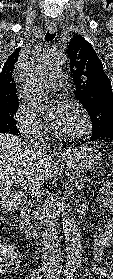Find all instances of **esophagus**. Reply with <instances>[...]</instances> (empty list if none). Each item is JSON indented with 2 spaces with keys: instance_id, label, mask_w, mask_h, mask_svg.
<instances>
[{
  "instance_id": "1",
  "label": "esophagus",
  "mask_w": 113,
  "mask_h": 279,
  "mask_svg": "<svg viewBox=\"0 0 113 279\" xmlns=\"http://www.w3.org/2000/svg\"><path fill=\"white\" fill-rule=\"evenodd\" d=\"M48 30L51 32V33H54L56 30H57V25L56 24H50L48 26ZM62 154H66V152L62 153Z\"/></svg>"
}]
</instances>
